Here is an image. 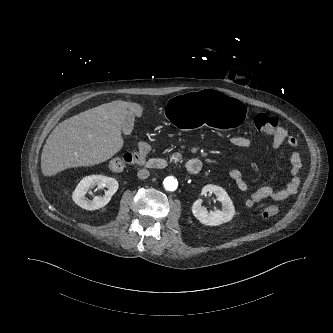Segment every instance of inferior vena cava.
Here are the masks:
<instances>
[{"instance_id":"obj_1","label":"inferior vena cava","mask_w":333,"mask_h":333,"mask_svg":"<svg viewBox=\"0 0 333 333\" xmlns=\"http://www.w3.org/2000/svg\"><path fill=\"white\" fill-rule=\"evenodd\" d=\"M150 175V172L147 169H141L138 171L137 176L140 179H146Z\"/></svg>"}]
</instances>
